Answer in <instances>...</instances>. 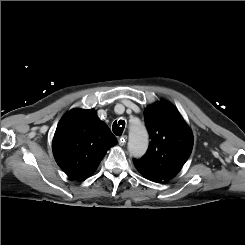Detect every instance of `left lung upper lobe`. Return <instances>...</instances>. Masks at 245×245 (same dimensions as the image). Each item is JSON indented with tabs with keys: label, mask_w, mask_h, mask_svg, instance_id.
Instances as JSON below:
<instances>
[{
	"label": "left lung upper lobe",
	"mask_w": 245,
	"mask_h": 245,
	"mask_svg": "<svg viewBox=\"0 0 245 245\" xmlns=\"http://www.w3.org/2000/svg\"><path fill=\"white\" fill-rule=\"evenodd\" d=\"M144 120L150 145L146 154L133 159V163L147 179L168 181L179 173L192 152V131L177 108L166 101L148 106Z\"/></svg>",
	"instance_id": "1"
}]
</instances>
